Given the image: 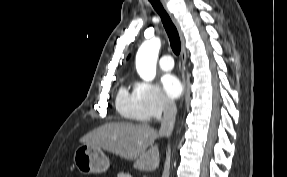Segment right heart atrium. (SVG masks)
Here are the masks:
<instances>
[{"label": "right heart atrium", "instance_id": "obj_1", "mask_svg": "<svg viewBox=\"0 0 287 177\" xmlns=\"http://www.w3.org/2000/svg\"><path fill=\"white\" fill-rule=\"evenodd\" d=\"M134 90L138 101L140 120H157L163 114L170 112L174 107L173 102L155 84L139 82Z\"/></svg>", "mask_w": 287, "mask_h": 177}]
</instances>
